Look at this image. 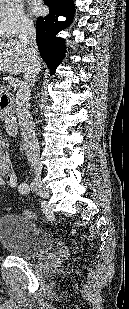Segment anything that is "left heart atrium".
Returning a JSON list of instances; mask_svg holds the SVG:
<instances>
[{
  "label": "left heart atrium",
  "mask_w": 129,
  "mask_h": 309,
  "mask_svg": "<svg viewBox=\"0 0 129 309\" xmlns=\"http://www.w3.org/2000/svg\"><path fill=\"white\" fill-rule=\"evenodd\" d=\"M41 11H42V7H41V5H39V4H35V5L32 7V12H33L34 14H39V13H41Z\"/></svg>",
  "instance_id": "left-heart-atrium-1"
}]
</instances>
